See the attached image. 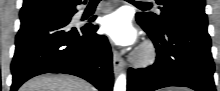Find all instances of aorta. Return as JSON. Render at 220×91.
<instances>
[{
    "instance_id": "1",
    "label": "aorta",
    "mask_w": 220,
    "mask_h": 91,
    "mask_svg": "<svg viewBox=\"0 0 220 91\" xmlns=\"http://www.w3.org/2000/svg\"><path fill=\"white\" fill-rule=\"evenodd\" d=\"M114 91H126V75L120 74L115 82Z\"/></svg>"
}]
</instances>
